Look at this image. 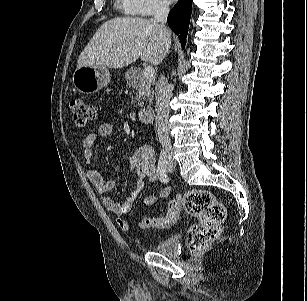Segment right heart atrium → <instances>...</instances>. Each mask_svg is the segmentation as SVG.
<instances>
[{
  "mask_svg": "<svg viewBox=\"0 0 307 301\" xmlns=\"http://www.w3.org/2000/svg\"><path fill=\"white\" fill-rule=\"evenodd\" d=\"M167 0H126V9L140 16H153L168 10Z\"/></svg>",
  "mask_w": 307,
  "mask_h": 301,
  "instance_id": "obj_1",
  "label": "right heart atrium"
}]
</instances>
